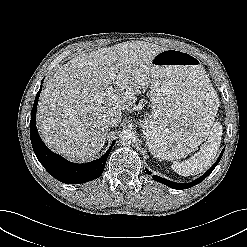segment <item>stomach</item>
I'll use <instances>...</instances> for the list:
<instances>
[{
    "instance_id": "obj_1",
    "label": "stomach",
    "mask_w": 247,
    "mask_h": 247,
    "mask_svg": "<svg viewBox=\"0 0 247 247\" xmlns=\"http://www.w3.org/2000/svg\"><path fill=\"white\" fill-rule=\"evenodd\" d=\"M151 69L152 113L142 122L149 150L160 160L183 158L208 136L216 93L200 60L189 52L165 49Z\"/></svg>"
}]
</instances>
